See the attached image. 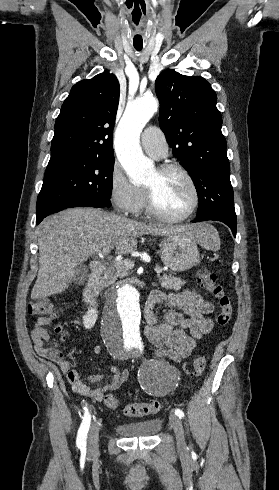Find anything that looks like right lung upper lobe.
<instances>
[{
	"label": "right lung upper lobe",
	"instance_id": "1",
	"mask_svg": "<svg viewBox=\"0 0 279 490\" xmlns=\"http://www.w3.org/2000/svg\"><path fill=\"white\" fill-rule=\"evenodd\" d=\"M119 93L110 73L75 84L56 119L49 163L113 152Z\"/></svg>",
	"mask_w": 279,
	"mask_h": 490
}]
</instances>
